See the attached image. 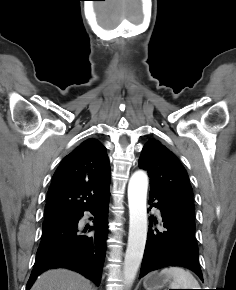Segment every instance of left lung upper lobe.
Listing matches in <instances>:
<instances>
[{
	"instance_id": "1",
	"label": "left lung upper lobe",
	"mask_w": 236,
	"mask_h": 290,
	"mask_svg": "<svg viewBox=\"0 0 236 290\" xmlns=\"http://www.w3.org/2000/svg\"><path fill=\"white\" fill-rule=\"evenodd\" d=\"M139 167L148 171L150 191L173 202L194 219L193 192L185 168L159 141L151 139L142 150Z\"/></svg>"
}]
</instances>
